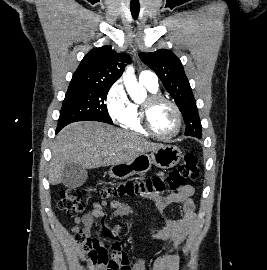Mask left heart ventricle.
I'll return each mask as SVG.
<instances>
[{
  "instance_id": "b2bd125f",
  "label": "left heart ventricle",
  "mask_w": 267,
  "mask_h": 270,
  "mask_svg": "<svg viewBox=\"0 0 267 270\" xmlns=\"http://www.w3.org/2000/svg\"><path fill=\"white\" fill-rule=\"evenodd\" d=\"M150 121L155 131L163 136L174 133L177 126V118L172 107L160 102L154 105L150 112Z\"/></svg>"
}]
</instances>
